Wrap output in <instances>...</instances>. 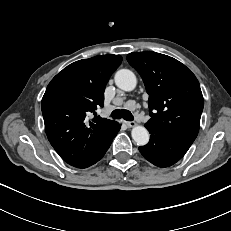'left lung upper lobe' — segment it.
Here are the masks:
<instances>
[{"instance_id": "5c2ea615", "label": "left lung upper lobe", "mask_w": 231, "mask_h": 231, "mask_svg": "<svg viewBox=\"0 0 231 231\" xmlns=\"http://www.w3.org/2000/svg\"><path fill=\"white\" fill-rule=\"evenodd\" d=\"M127 61L139 72L149 94L151 119L146 125L191 146L203 111L195 75L178 60L152 51L130 53Z\"/></svg>"}]
</instances>
